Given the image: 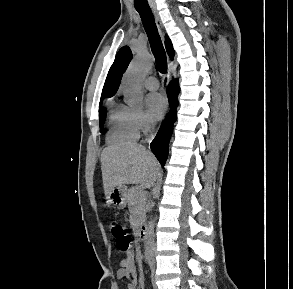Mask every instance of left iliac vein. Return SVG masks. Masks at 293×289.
Instances as JSON below:
<instances>
[{"mask_svg": "<svg viewBox=\"0 0 293 289\" xmlns=\"http://www.w3.org/2000/svg\"><path fill=\"white\" fill-rule=\"evenodd\" d=\"M151 277H152L153 288H154V289H158V287H157V285H156V281H155L154 269L152 270Z\"/></svg>", "mask_w": 293, "mask_h": 289, "instance_id": "left-iliac-vein-1", "label": "left iliac vein"}]
</instances>
